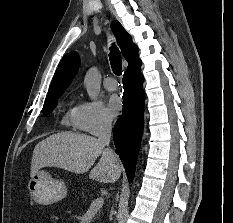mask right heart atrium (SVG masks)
<instances>
[{
    "label": "right heart atrium",
    "instance_id": "obj_1",
    "mask_svg": "<svg viewBox=\"0 0 233 223\" xmlns=\"http://www.w3.org/2000/svg\"><path fill=\"white\" fill-rule=\"evenodd\" d=\"M78 129L97 135L112 129L113 123L104 106L96 101H84L78 106Z\"/></svg>",
    "mask_w": 233,
    "mask_h": 223
}]
</instances>
